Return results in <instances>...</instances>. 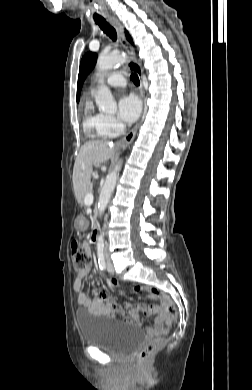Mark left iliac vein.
I'll return each instance as SVG.
<instances>
[{
  "mask_svg": "<svg viewBox=\"0 0 252 390\" xmlns=\"http://www.w3.org/2000/svg\"><path fill=\"white\" fill-rule=\"evenodd\" d=\"M107 271L110 273V274H114L115 272V269H114V266H113V263L111 262V260L108 258L107 259Z\"/></svg>",
  "mask_w": 252,
  "mask_h": 390,
  "instance_id": "1",
  "label": "left iliac vein"
}]
</instances>
